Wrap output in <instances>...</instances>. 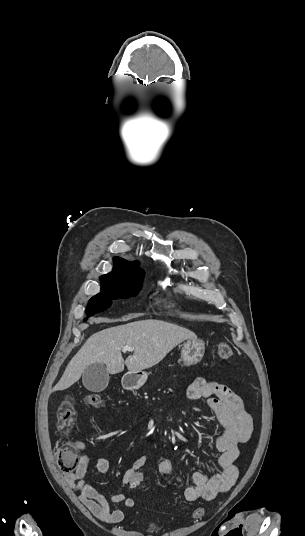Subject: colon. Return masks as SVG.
Instances as JSON below:
<instances>
[{
  "label": "colon",
  "instance_id": "5ec220e1",
  "mask_svg": "<svg viewBox=\"0 0 305 536\" xmlns=\"http://www.w3.org/2000/svg\"><path fill=\"white\" fill-rule=\"evenodd\" d=\"M232 349L229 343L220 342L216 345L214 349L215 357L220 360H228L232 357ZM83 403L90 407H99L103 403V396L99 393H87L83 396ZM76 421V411L74 403L66 398L59 406L57 416H56V427L61 434H65L75 423ZM78 445L75 441H70L67 443H62L59 447H56L55 453L57 454V460L62 472L69 473L71 471H76L77 469V460H78ZM130 476H132L130 483L131 487L134 490L139 489L141 483L144 480L143 475L138 474L137 469L132 468L129 471ZM205 514L204 510L196 509L195 512H192L197 518L203 517Z\"/></svg>",
  "mask_w": 305,
  "mask_h": 536
}]
</instances>
